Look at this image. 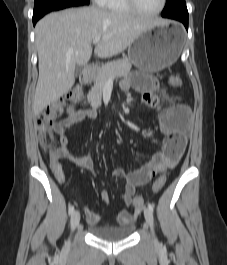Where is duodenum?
<instances>
[{"label":"duodenum","mask_w":227,"mask_h":265,"mask_svg":"<svg viewBox=\"0 0 227 265\" xmlns=\"http://www.w3.org/2000/svg\"><path fill=\"white\" fill-rule=\"evenodd\" d=\"M95 67L93 65H88L84 68L82 74H81V81L83 83H90L93 78Z\"/></svg>","instance_id":"410a0bca"}]
</instances>
